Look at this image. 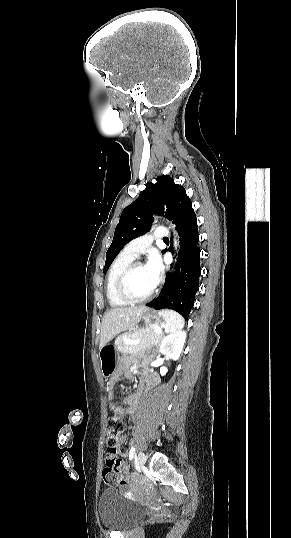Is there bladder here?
Here are the masks:
<instances>
[{
  "label": "bladder",
  "mask_w": 291,
  "mask_h": 538,
  "mask_svg": "<svg viewBox=\"0 0 291 538\" xmlns=\"http://www.w3.org/2000/svg\"><path fill=\"white\" fill-rule=\"evenodd\" d=\"M137 504L124 499L116 487L104 490L98 501V515L103 526L110 530L124 531L142 515Z\"/></svg>",
  "instance_id": "bladder-1"
}]
</instances>
